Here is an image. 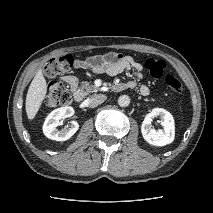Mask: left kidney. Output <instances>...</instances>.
<instances>
[{"instance_id":"5707ae66","label":"left kidney","mask_w":213,"mask_h":213,"mask_svg":"<svg viewBox=\"0 0 213 213\" xmlns=\"http://www.w3.org/2000/svg\"><path fill=\"white\" fill-rule=\"evenodd\" d=\"M159 116L163 130H155L151 127L152 118ZM141 132L143 138L153 146H165L173 142L175 137L174 119L170 112L163 108H154L145 117L142 125Z\"/></svg>"}]
</instances>
